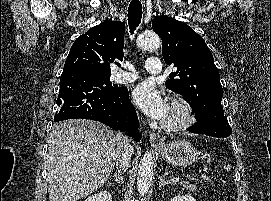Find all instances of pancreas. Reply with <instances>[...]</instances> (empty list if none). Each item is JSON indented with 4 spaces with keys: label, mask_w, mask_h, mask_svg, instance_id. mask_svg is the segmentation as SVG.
<instances>
[{
    "label": "pancreas",
    "mask_w": 271,
    "mask_h": 201,
    "mask_svg": "<svg viewBox=\"0 0 271 201\" xmlns=\"http://www.w3.org/2000/svg\"><path fill=\"white\" fill-rule=\"evenodd\" d=\"M180 184L183 186V188H187L191 192H195L197 190L196 185L189 181H182Z\"/></svg>",
    "instance_id": "cf45deb5"
}]
</instances>
